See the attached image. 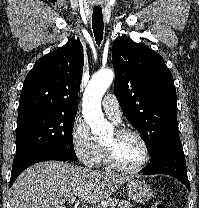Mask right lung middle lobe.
<instances>
[{
	"mask_svg": "<svg viewBox=\"0 0 199 208\" xmlns=\"http://www.w3.org/2000/svg\"><path fill=\"white\" fill-rule=\"evenodd\" d=\"M76 113L45 110L18 112L13 164L37 153L55 152L76 160L72 132Z\"/></svg>",
	"mask_w": 199,
	"mask_h": 208,
	"instance_id": "1",
	"label": "right lung middle lobe"
}]
</instances>
